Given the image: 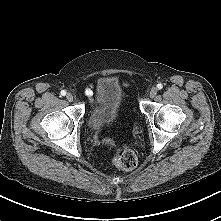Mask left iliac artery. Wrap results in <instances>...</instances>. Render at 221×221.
I'll return each mask as SVG.
<instances>
[{
    "label": "left iliac artery",
    "instance_id": "44dca946",
    "mask_svg": "<svg viewBox=\"0 0 221 221\" xmlns=\"http://www.w3.org/2000/svg\"><path fill=\"white\" fill-rule=\"evenodd\" d=\"M157 88L160 90L163 88V85L161 83L157 84Z\"/></svg>",
    "mask_w": 221,
    "mask_h": 221
}]
</instances>
